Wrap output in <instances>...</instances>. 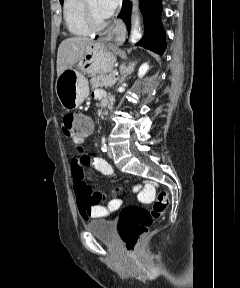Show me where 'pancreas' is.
I'll list each match as a JSON object with an SVG mask.
<instances>
[{"mask_svg":"<svg viewBox=\"0 0 240 288\" xmlns=\"http://www.w3.org/2000/svg\"><path fill=\"white\" fill-rule=\"evenodd\" d=\"M117 80L118 78H116L112 74H99V75L92 77V79L90 80V83L94 88H97V87L107 88V87H112L116 83Z\"/></svg>","mask_w":240,"mask_h":288,"instance_id":"1","label":"pancreas"}]
</instances>
